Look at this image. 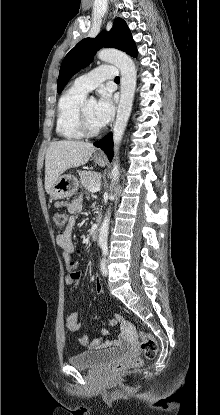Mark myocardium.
Wrapping results in <instances>:
<instances>
[{
    "label": "myocardium",
    "mask_w": 220,
    "mask_h": 415,
    "mask_svg": "<svg viewBox=\"0 0 220 415\" xmlns=\"http://www.w3.org/2000/svg\"><path fill=\"white\" fill-rule=\"evenodd\" d=\"M87 100H83L76 113V126L79 130V132L85 136V137H95L99 135L102 131V126L98 129H90L87 123L86 114H85V106H86Z\"/></svg>",
    "instance_id": "obj_1"
}]
</instances>
